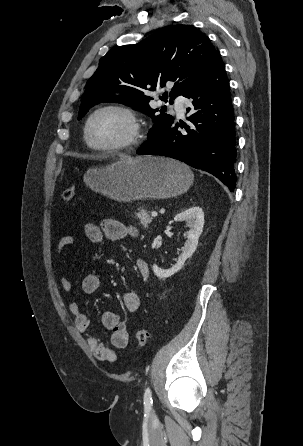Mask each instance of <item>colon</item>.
<instances>
[{
	"label": "colon",
	"mask_w": 303,
	"mask_h": 446,
	"mask_svg": "<svg viewBox=\"0 0 303 446\" xmlns=\"http://www.w3.org/2000/svg\"><path fill=\"white\" fill-rule=\"evenodd\" d=\"M62 198L66 202H71L75 198V187L67 186L62 192ZM149 333L145 328H138L135 333L134 347L135 349L142 348L148 341Z\"/></svg>",
	"instance_id": "colon-1"
}]
</instances>
